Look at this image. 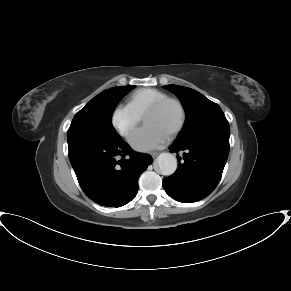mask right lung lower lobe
<instances>
[{"label": "right lung lower lobe", "mask_w": 291, "mask_h": 291, "mask_svg": "<svg viewBox=\"0 0 291 291\" xmlns=\"http://www.w3.org/2000/svg\"><path fill=\"white\" fill-rule=\"evenodd\" d=\"M69 159L84 193L103 206L120 207L138 191V178L151 156L131 150L121 138H68Z\"/></svg>", "instance_id": "1"}]
</instances>
